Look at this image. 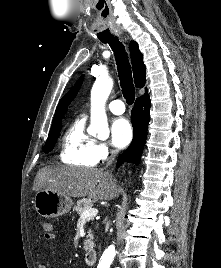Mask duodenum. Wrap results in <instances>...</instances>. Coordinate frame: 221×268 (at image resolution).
I'll return each mask as SVG.
<instances>
[{"instance_id": "410a0bca", "label": "duodenum", "mask_w": 221, "mask_h": 268, "mask_svg": "<svg viewBox=\"0 0 221 268\" xmlns=\"http://www.w3.org/2000/svg\"><path fill=\"white\" fill-rule=\"evenodd\" d=\"M85 261L87 265H94L97 261V251L93 248L86 252Z\"/></svg>"}]
</instances>
